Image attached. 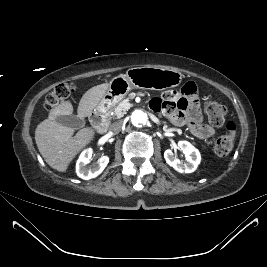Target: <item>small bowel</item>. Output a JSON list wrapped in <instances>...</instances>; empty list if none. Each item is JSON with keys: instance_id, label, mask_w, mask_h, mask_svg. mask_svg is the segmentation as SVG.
Listing matches in <instances>:
<instances>
[{"instance_id": "1", "label": "small bowel", "mask_w": 267, "mask_h": 267, "mask_svg": "<svg viewBox=\"0 0 267 267\" xmlns=\"http://www.w3.org/2000/svg\"><path fill=\"white\" fill-rule=\"evenodd\" d=\"M155 112L164 114L177 126L186 125L190 132L199 139L214 135V129L202 122V114L195 83H186L181 90H169L150 103Z\"/></svg>"}]
</instances>
